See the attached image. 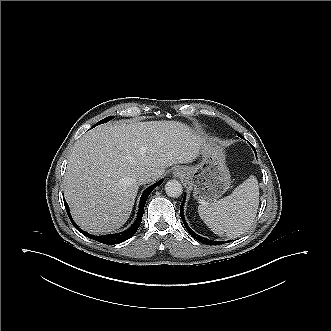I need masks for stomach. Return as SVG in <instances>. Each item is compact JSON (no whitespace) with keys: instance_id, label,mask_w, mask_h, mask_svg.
<instances>
[{"instance_id":"0dacf381","label":"stomach","mask_w":331,"mask_h":331,"mask_svg":"<svg viewBox=\"0 0 331 331\" xmlns=\"http://www.w3.org/2000/svg\"><path fill=\"white\" fill-rule=\"evenodd\" d=\"M202 160L196 166H182L185 182L193 188L195 199L216 200L229 188L231 176L223 149L207 144L201 150Z\"/></svg>"}]
</instances>
